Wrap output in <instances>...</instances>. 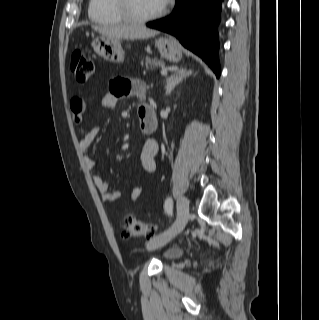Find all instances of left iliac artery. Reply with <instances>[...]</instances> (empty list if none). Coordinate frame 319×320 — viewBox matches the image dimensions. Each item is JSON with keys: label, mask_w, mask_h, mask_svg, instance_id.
<instances>
[{"label": "left iliac artery", "mask_w": 319, "mask_h": 320, "mask_svg": "<svg viewBox=\"0 0 319 320\" xmlns=\"http://www.w3.org/2000/svg\"><path fill=\"white\" fill-rule=\"evenodd\" d=\"M172 205H173L172 198L171 197L167 198L164 204V208H165V211L170 215H172Z\"/></svg>", "instance_id": "left-iliac-artery-1"}]
</instances>
